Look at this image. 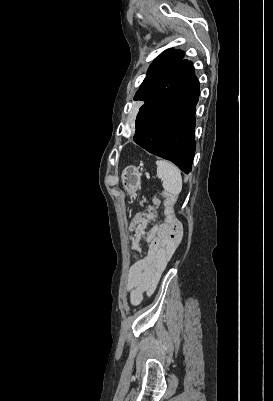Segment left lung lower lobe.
I'll use <instances>...</instances> for the list:
<instances>
[{
    "label": "left lung lower lobe",
    "instance_id": "0a47b994",
    "mask_svg": "<svg viewBox=\"0 0 273 401\" xmlns=\"http://www.w3.org/2000/svg\"><path fill=\"white\" fill-rule=\"evenodd\" d=\"M200 90L191 61L184 60L168 87L140 107L133 140L148 152L191 172L195 153V111Z\"/></svg>",
    "mask_w": 273,
    "mask_h": 401
}]
</instances>
